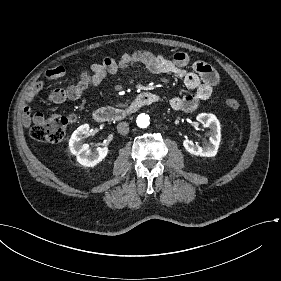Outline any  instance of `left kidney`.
<instances>
[{"label": "left kidney", "mask_w": 281, "mask_h": 281, "mask_svg": "<svg viewBox=\"0 0 281 281\" xmlns=\"http://www.w3.org/2000/svg\"><path fill=\"white\" fill-rule=\"evenodd\" d=\"M197 120L204 128L210 129L208 143L204 147L195 145L190 139L183 141L184 148L192 155L200 157H215L221 141L220 123L212 114H199Z\"/></svg>", "instance_id": "obj_1"}]
</instances>
